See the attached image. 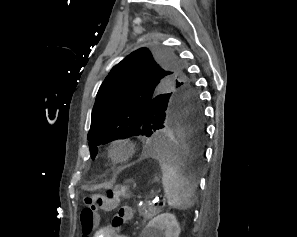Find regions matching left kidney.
Returning a JSON list of instances; mask_svg holds the SVG:
<instances>
[{
	"mask_svg": "<svg viewBox=\"0 0 297 237\" xmlns=\"http://www.w3.org/2000/svg\"><path fill=\"white\" fill-rule=\"evenodd\" d=\"M180 232L175 215L163 213L149 221L143 231V237H179Z\"/></svg>",
	"mask_w": 297,
	"mask_h": 237,
	"instance_id": "left-kidney-1",
	"label": "left kidney"
}]
</instances>
